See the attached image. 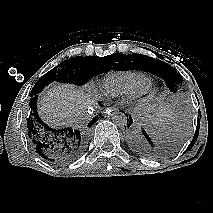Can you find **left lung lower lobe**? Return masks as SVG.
<instances>
[{
  "label": "left lung lower lobe",
  "mask_w": 213,
  "mask_h": 213,
  "mask_svg": "<svg viewBox=\"0 0 213 213\" xmlns=\"http://www.w3.org/2000/svg\"><path fill=\"white\" fill-rule=\"evenodd\" d=\"M132 123L133 119L129 115L127 126L130 128ZM127 140L130 147L139 155L156 158L163 153V150L159 144L156 143L153 136L144 128H131L128 131Z\"/></svg>",
  "instance_id": "0a47b994"
}]
</instances>
